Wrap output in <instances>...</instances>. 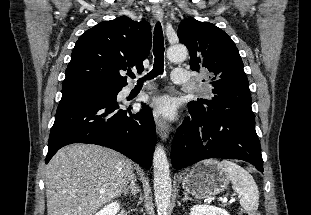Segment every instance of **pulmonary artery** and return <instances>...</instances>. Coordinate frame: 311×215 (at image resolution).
Here are the masks:
<instances>
[{
    "instance_id": "1",
    "label": "pulmonary artery",
    "mask_w": 311,
    "mask_h": 215,
    "mask_svg": "<svg viewBox=\"0 0 311 215\" xmlns=\"http://www.w3.org/2000/svg\"><path fill=\"white\" fill-rule=\"evenodd\" d=\"M189 73L183 68H175L172 71V81L176 84H182L189 81Z\"/></svg>"
}]
</instances>
